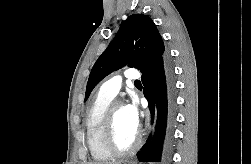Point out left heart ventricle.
<instances>
[{
	"instance_id": "left-heart-ventricle-1",
	"label": "left heart ventricle",
	"mask_w": 251,
	"mask_h": 164,
	"mask_svg": "<svg viewBox=\"0 0 251 164\" xmlns=\"http://www.w3.org/2000/svg\"><path fill=\"white\" fill-rule=\"evenodd\" d=\"M137 130L134 129L126 116L123 106H119L115 112V137L117 144L122 148L131 146L134 142Z\"/></svg>"
}]
</instances>
